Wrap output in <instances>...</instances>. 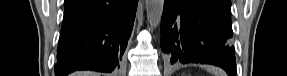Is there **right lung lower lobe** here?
<instances>
[{"label": "right lung lower lobe", "mask_w": 287, "mask_h": 76, "mask_svg": "<svg viewBox=\"0 0 287 76\" xmlns=\"http://www.w3.org/2000/svg\"><path fill=\"white\" fill-rule=\"evenodd\" d=\"M138 0H76L65 8L56 76L75 70L112 72L126 50Z\"/></svg>", "instance_id": "right-lung-lower-lobe-1"}]
</instances>
